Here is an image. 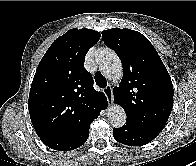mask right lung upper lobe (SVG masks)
Returning a JSON list of instances; mask_svg holds the SVG:
<instances>
[{
	"label": "right lung upper lobe",
	"instance_id": "cb5924a9",
	"mask_svg": "<svg viewBox=\"0 0 196 166\" xmlns=\"http://www.w3.org/2000/svg\"><path fill=\"white\" fill-rule=\"evenodd\" d=\"M100 33L71 29L58 37L41 59L29 93V114L42 138L82 136L94 120L103 92L93 88V78L84 66L88 50Z\"/></svg>",
	"mask_w": 196,
	"mask_h": 166
}]
</instances>
